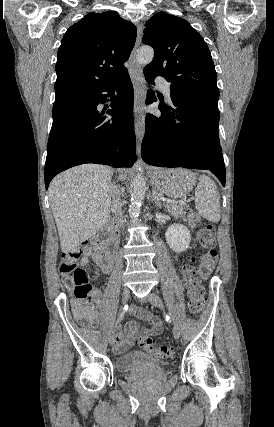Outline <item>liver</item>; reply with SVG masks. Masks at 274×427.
Listing matches in <instances>:
<instances>
[{
  "label": "liver",
  "instance_id": "obj_1",
  "mask_svg": "<svg viewBox=\"0 0 274 427\" xmlns=\"http://www.w3.org/2000/svg\"><path fill=\"white\" fill-rule=\"evenodd\" d=\"M126 178V170H117ZM111 168L83 164L58 174L48 194L64 253L89 239L110 217L111 198L117 188Z\"/></svg>",
  "mask_w": 274,
  "mask_h": 427
}]
</instances>
